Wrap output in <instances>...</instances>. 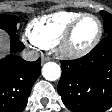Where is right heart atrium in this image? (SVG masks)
<instances>
[{
  "mask_svg": "<svg viewBox=\"0 0 112 112\" xmlns=\"http://www.w3.org/2000/svg\"><path fill=\"white\" fill-rule=\"evenodd\" d=\"M28 39H29V38H28ZM29 41H30L31 44L35 45L30 39H29Z\"/></svg>",
  "mask_w": 112,
  "mask_h": 112,
  "instance_id": "obj_1",
  "label": "right heart atrium"
}]
</instances>
